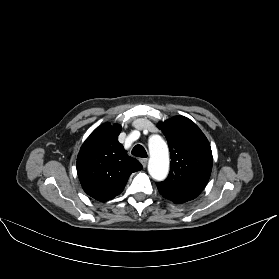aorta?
Returning a JSON list of instances; mask_svg holds the SVG:
<instances>
[{
    "label": "aorta",
    "mask_w": 279,
    "mask_h": 279,
    "mask_svg": "<svg viewBox=\"0 0 279 279\" xmlns=\"http://www.w3.org/2000/svg\"><path fill=\"white\" fill-rule=\"evenodd\" d=\"M150 159L148 172L157 181L164 180L169 172V152L165 141L160 136L149 140Z\"/></svg>",
    "instance_id": "1"
}]
</instances>
